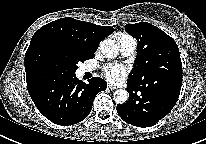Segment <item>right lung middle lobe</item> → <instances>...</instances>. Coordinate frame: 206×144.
<instances>
[{
    "instance_id": "right-lung-middle-lobe-1",
    "label": "right lung middle lobe",
    "mask_w": 206,
    "mask_h": 144,
    "mask_svg": "<svg viewBox=\"0 0 206 144\" xmlns=\"http://www.w3.org/2000/svg\"><path fill=\"white\" fill-rule=\"evenodd\" d=\"M94 56L53 44H42L25 54L26 75L37 73L75 74L77 63Z\"/></svg>"
}]
</instances>
